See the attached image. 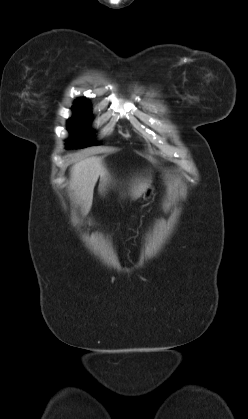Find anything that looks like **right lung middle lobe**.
Listing matches in <instances>:
<instances>
[{
  "instance_id": "right-lung-middle-lobe-1",
  "label": "right lung middle lobe",
  "mask_w": 248,
  "mask_h": 419,
  "mask_svg": "<svg viewBox=\"0 0 248 419\" xmlns=\"http://www.w3.org/2000/svg\"><path fill=\"white\" fill-rule=\"evenodd\" d=\"M72 109L74 116L67 122V129L71 133V139L67 140L66 148H84L94 145L92 130L90 129V103L84 100H77Z\"/></svg>"
}]
</instances>
